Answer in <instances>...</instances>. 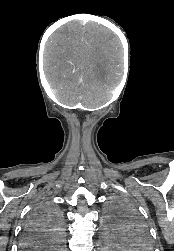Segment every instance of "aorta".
Wrapping results in <instances>:
<instances>
[{"label":"aorta","mask_w":174,"mask_h":251,"mask_svg":"<svg viewBox=\"0 0 174 251\" xmlns=\"http://www.w3.org/2000/svg\"><path fill=\"white\" fill-rule=\"evenodd\" d=\"M100 236L98 245L100 251L123 250V244L121 243L123 234L115 229H111L106 222L102 223Z\"/></svg>","instance_id":"obj_1"}]
</instances>
